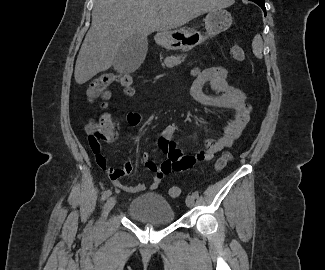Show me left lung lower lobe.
<instances>
[{
  "mask_svg": "<svg viewBox=\"0 0 325 270\" xmlns=\"http://www.w3.org/2000/svg\"><path fill=\"white\" fill-rule=\"evenodd\" d=\"M250 1H253L256 4H258L263 9V11L266 12V8H265V5H264V0H250Z\"/></svg>",
  "mask_w": 325,
  "mask_h": 270,
  "instance_id": "1",
  "label": "left lung lower lobe"
}]
</instances>
